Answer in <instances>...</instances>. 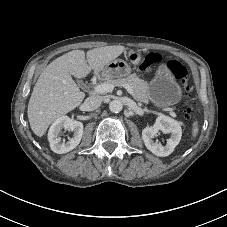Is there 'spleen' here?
<instances>
[{"label": "spleen", "mask_w": 227, "mask_h": 227, "mask_svg": "<svg viewBox=\"0 0 227 227\" xmlns=\"http://www.w3.org/2000/svg\"><path fill=\"white\" fill-rule=\"evenodd\" d=\"M199 127H198V121H194L192 124V139H195L198 135Z\"/></svg>", "instance_id": "obj_1"}]
</instances>
